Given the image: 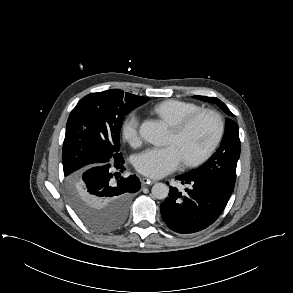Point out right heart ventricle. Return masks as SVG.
I'll return each mask as SVG.
<instances>
[{
  "label": "right heart ventricle",
  "instance_id": "e07e8e85",
  "mask_svg": "<svg viewBox=\"0 0 293 293\" xmlns=\"http://www.w3.org/2000/svg\"><path fill=\"white\" fill-rule=\"evenodd\" d=\"M200 109L195 103L171 99L156 104L153 111L172 126Z\"/></svg>",
  "mask_w": 293,
  "mask_h": 293
}]
</instances>
